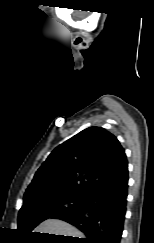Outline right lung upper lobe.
<instances>
[{"mask_svg": "<svg viewBox=\"0 0 154 243\" xmlns=\"http://www.w3.org/2000/svg\"><path fill=\"white\" fill-rule=\"evenodd\" d=\"M128 167L117 138L101 127L87 128L56 147L28 186L24 203L57 195L87 198Z\"/></svg>", "mask_w": 154, "mask_h": 243, "instance_id": "right-lung-upper-lobe-1", "label": "right lung upper lobe"}]
</instances>
